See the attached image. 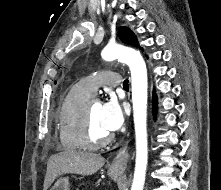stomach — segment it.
Returning a JSON list of instances; mask_svg holds the SVG:
<instances>
[{"label":"stomach","instance_id":"0dacf381","mask_svg":"<svg viewBox=\"0 0 221 190\" xmlns=\"http://www.w3.org/2000/svg\"><path fill=\"white\" fill-rule=\"evenodd\" d=\"M121 174L122 173L120 171L112 168L108 170V175L111 176L114 180L118 179ZM50 190H70L69 179L66 177L59 178Z\"/></svg>","mask_w":221,"mask_h":190}]
</instances>
